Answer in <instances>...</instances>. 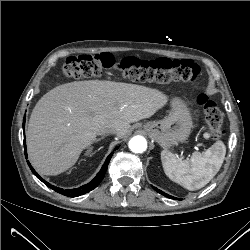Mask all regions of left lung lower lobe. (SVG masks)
Returning <instances> with one entry per match:
<instances>
[{
	"mask_svg": "<svg viewBox=\"0 0 250 250\" xmlns=\"http://www.w3.org/2000/svg\"><path fill=\"white\" fill-rule=\"evenodd\" d=\"M153 188H154L158 193L162 194L163 196L168 197V198H171V199H175V197L170 196V195H168V194L162 192L161 190L157 189L156 187H153ZM176 199H177V198H176Z\"/></svg>",
	"mask_w": 250,
	"mask_h": 250,
	"instance_id": "left-lung-lower-lobe-1",
	"label": "left lung lower lobe"
}]
</instances>
